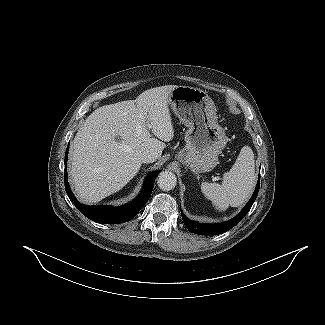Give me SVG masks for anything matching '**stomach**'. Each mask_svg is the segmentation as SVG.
Returning <instances> with one entry per match:
<instances>
[{
  "mask_svg": "<svg viewBox=\"0 0 325 325\" xmlns=\"http://www.w3.org/2000/svg\"><path fill=\"white\" fill-rule=\"evenodd\" d=\"M169 104L188 128L185 147L176 158L197 174L211 171L227 143L224 129L217 122L216 107L206 92L190 86H177Z\"/></svg>",
  "mask_w": 325,
  "mask_h": 325,
  "instance_id": "1",
  "label": "stomach"
}]
</instances>
